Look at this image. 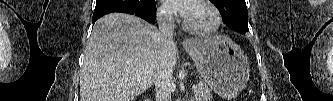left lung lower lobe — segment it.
Masks as SVG:
<instances>
[{
  "mask_svg": "<svg viewBox=\"0 0 333 101\" xmlns=\"http://www.w3.org/2000/svg\"><path fill=\"white\" fill-rule=\"evenodd\" d=\"M244 1H245V0H244ZM245 4H246V3H245ZM247 31H249V28L246 29V30H242L241 33H242V34H245V32H247Z\"/></svg>",
  "mask_w": 333,
  "mask_h": 101,
  "instance_id": "1",
  "label": "left lung lower lobe"
}]
</instances>
